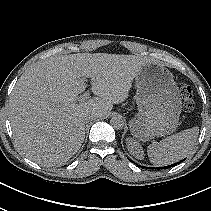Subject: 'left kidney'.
Wrapping results in <instances>:
<instances>
[{
  "instance_id": "5707ae66",
  "label": "left kidney",
  "mask_w": 211,
  "mask_h": 211,
  "mask_svg": "<svg viewBox=\"0 0 211 211\" xmlns=\"http://www.w3.org/2000/svg\"><path fill=\"white\" fill-rule=\"evenodd\" d=\"M126 144H127V148L130 154H132L137 159H140V160L143 159L144 157L143 149L137 142H133L130 138H127Z\"/></svg>"
}]
</instances>
